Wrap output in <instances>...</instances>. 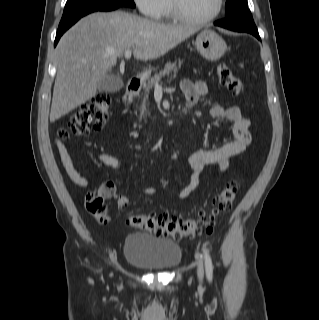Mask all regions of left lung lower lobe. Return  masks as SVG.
I'll return each instance as SVG.
<instances>
[{
    "label": "left lung lower lobe",
    "instance_id": "left-lung-lower-lobe-1",
    "mask_svg": "<svg viewBox=\"0 0 319 320\" xmlns=\"http://www.w3.org/2000/svg\"><path fill=\"white\" fill-rule=\"evenodd\" d=\"M214 24L232 31L250 33L260 40V36L254 21L240 18H226L224 20L217 21Z\"/></svg>",
    "mask_w": 319,
    "mask_h": 320
}]
</instances>
